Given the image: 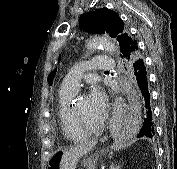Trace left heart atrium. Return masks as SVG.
Instances as JSON below:
<instances>
[{"label":"left heart atrium","mask_w":177,"mask_h":169,"mask_svg":"<svg viewBox=\"0 0 177 169\" xmlns=\"http://www.w3.org/2000/svg\"><path fill=\"white\" fill-rule=\"evenodd\" d=\"M92 104L102 111L106 108V98L103 90L99 86H92L88 95Z\"/></svg>","instance_id":"1"}]
</instances>
